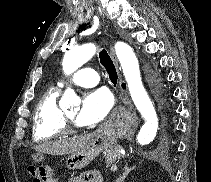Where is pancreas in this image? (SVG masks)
Returning <instances> with one entry per match:
<instances>
[{
	"mask_svg": "<svg viewBox=\"0 0 211 182\" xmlns=\"http://www.w3.org/2000/svg\"><path fill=\"white\" fill-rule=\"evenodd\" d=\"M103 157L105 158V164L110 166L113 164L117 159L122 158V154L120 153V147L115 146L112 149L105 150L103 153Z\"/></svg>",
	"mask_w": 211,
	"mask_h": 182,
	"instance_id": "cf45deb5",
	"label": "pancreas"
}]
</instances>
